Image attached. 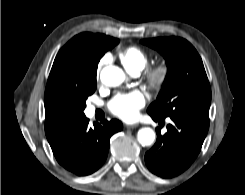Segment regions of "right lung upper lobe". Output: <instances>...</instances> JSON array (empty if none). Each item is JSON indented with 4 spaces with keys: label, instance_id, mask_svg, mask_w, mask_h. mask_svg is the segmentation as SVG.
I'll use <instances>...</instances> for the list:
<instances>
[{
    "label": "right lung upper lobe",
    "instance_id": "obj_1",
    "mask_svg": "<svg viewBox=\"0 0 245 195\" xmlns=\"http://www.w3.org/2000/svg\"><path fill=\"white\" fill-rule=\"evenodd\" d=\"M114 39L104 34L81 33L58 52L45 90V133L49 143L62 138L85 116L63 93L61 76L67 63L79 55H100L104 46Z\"/></svg>",
    "mask_w": 245,
    "mask_h": 195
}]
</instances>
